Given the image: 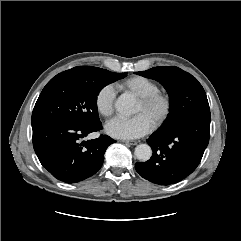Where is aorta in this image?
I'll return each mask as SVG.
<instances>
[{"mask_svg":"<svg viewBox=\"0 0 241 241\" xmlns=\"http://www.w3.org/2000/svg\"><path fill=\"white\" fill-rule=\"evenodd\" d=\"M115 108L123 116H129L136 111L135 99L129 95H121L115 102ZM135 157L142 162L150 159L152 150L147 144H139L134 151Z\"/></svg>","mask_w":241,"mask_h":241,"instance_id":"1","label":"aorta"}]
</instances>
